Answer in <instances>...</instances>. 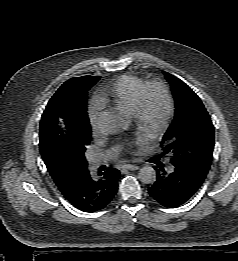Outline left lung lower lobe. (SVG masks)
Here are the masks:
<instances>
[{"label":"left lung lower lobe","mask_w":238,"mask_h":261,"mask_svg":"<svg viewBox=\"0 0 238 261\" xmlns=\"http://www.w3.org/2000/svg\"><path fill=\"white\" fill-rule=\"evenodd\" d=\"M156 164V181L148 191L154 200L165 207L174 208L187 202L201 187L207 175L178 165L165 169L160 161Z\"/></svg>","instance_id":"left-lung-lower-lobe-1"}]
</instances>
